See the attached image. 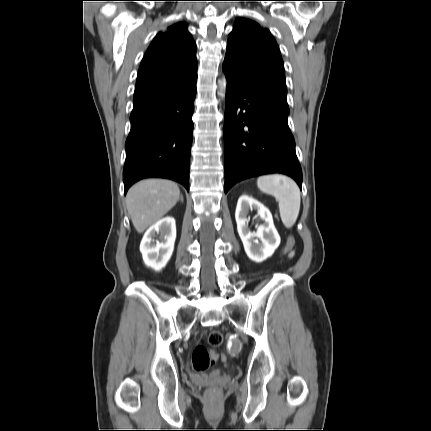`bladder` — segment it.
Wrapping results in <instances>:
<instances>
[{
  "mask_svg": "<svg viewBox=\"0 0 431 431\" xmlns=\"http://www.w3.org/2000/svg\"><path fill=\"white\" fill-rule=\"evenodd\" d=\"M219 373H220V371L216 370L213 374H219Z\"/></svg>",
  "mask_w": 431,
  "mask_h": 431,
  "instance_id": "1",
  "label": "bladder"
}]
</instances>
